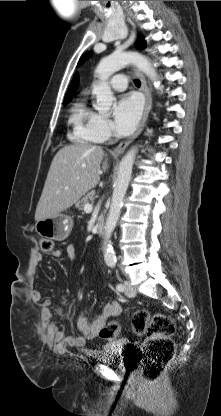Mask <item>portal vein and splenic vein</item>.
I'll return each instance as SVG.
<instances>
[{
  "instance_id": "18ae733b",
  "label": "portal vein and splenic vein",
  "mask_w": 221,
  "mask_h": 416,
  "mask_svg": "<svg viewBox=\"0 0 221 416\" xmlns=\"http://www.w3.org/2000/svg\"><path fill=\"white\" fill-rule=\"evenodd\" d=\"M93 210V205L92 204H86L85 206H84V211L86 212V213H89V212H91Z\"/></svg>"
}]
</instances>
